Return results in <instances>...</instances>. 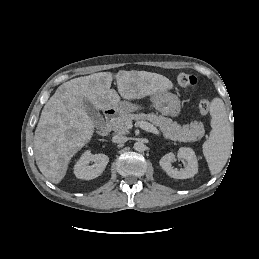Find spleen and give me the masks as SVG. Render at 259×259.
<instances>
[{"label":"spleen","mask_w":259,"mask_h":259,"mask_svg":"<svg viewBox=\"0 0 259 259\" xmlns=\"http://www.w3.org/2000/svg\"><path fill=\"white\" fill-rule=\"evenodd\" d=\"M211 127L210 136L203 144V154L212 175L218 174L225 166L231 151L232 128L224 102L214 98L210 106Z\"/></svg>","instance_id":"1"}]
</instances>
